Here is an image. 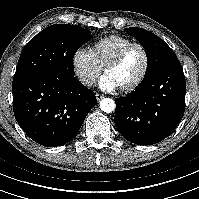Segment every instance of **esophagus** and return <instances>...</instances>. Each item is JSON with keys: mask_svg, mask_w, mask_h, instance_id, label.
Masks as SVG:
<instances>
[{"mask_svg": "<svg viewBox=\"0 0 199 199\" xmlns=\"http://www.w3.org/2000/svg\"><path fill=\"white\" fill-rule=\"evenodd\" d=\"M95 96H96V99L98 101L104 98V96L102 94H99V93H96Z\"/></svg>", "mask_w": 199, "mask_h": 199, "instance_id": "34e87169", "label": "esophagus"}]
</instances>
